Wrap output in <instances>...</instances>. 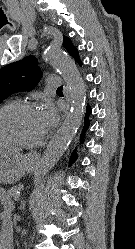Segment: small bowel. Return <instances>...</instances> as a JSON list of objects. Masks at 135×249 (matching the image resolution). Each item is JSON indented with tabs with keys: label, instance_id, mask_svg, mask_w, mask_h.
Here are the masks:
<instances>
[{
	"label": "small bowel",
	"instance_id": "c3829d8e",
	"mask_svg": "<svg viewBox=\"0 0 135 249\" xmlns=\"http://www.w3.org/2000/svg\"><path fill=\"white\" fill-rule=\"evenodd\" d=\"M8 214H9V211H8V209H6V210L4 211V216L7 217Z\"/></svg>",
	"mask_w": 135,
	"mask_h": 249
}]
</instances>
